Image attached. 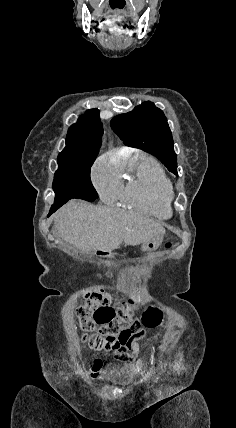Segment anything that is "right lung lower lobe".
<instances>
[{"label":"right lung lower lobe","mask_w":236,"mask_h":428,"mask_svg":"<svg viewBox=\"0 0 236 428\" xmlns=\"http://www.w3.org/2000/svg\"><path fill=\"white\" fill-rule=\"evenodd\" d=\"M58 208H51L48 216H50L53 212H55Z\"/></svg>","instance_id":"98d812e1"}]
</instances>
